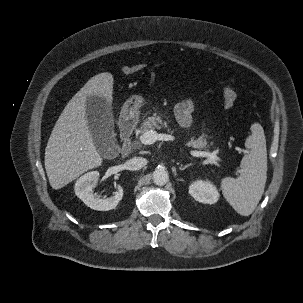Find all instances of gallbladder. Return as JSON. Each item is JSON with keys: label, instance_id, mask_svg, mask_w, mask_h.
Returning <instances> with one entry per match:
<instances>
[{"label": "gallbladder", "instance_id": "1", "mask_svg": "<svg viewBox=\"0 0 303 303\" xmlns=\"http://www.w3.org/2000/svg\"><path fill=\"white\" fill-rule=\"evenodd\" d=\"M87 115L94 143L100 152L105 154L115 140L111 109L104 98L91 96L87 98Z\"/></svg>", "mask_w": 303, "mask_h": 303}]
</instances>
